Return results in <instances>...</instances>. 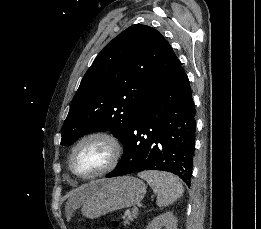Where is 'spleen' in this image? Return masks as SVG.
Returning a JSON list of instances; mask_svg holds the SVG:
<instances>
[{"instance_id": "1", "label": "spleen", "mask_w": 261, "mask_h": 229, "mask_svg": "<svg viewBox=\"0 0 261 229\" xmlns=\"http://www.w3.org/2000/svg\"><path fill=\"white\" fill-rule=\"evenodd\" d=\"M140 179L147 181L152 191L157 193L158 207H168L180 199L184 193L183 185L179 177L166 171H142L138 173Z\"/></svg>"}]
</instances>
